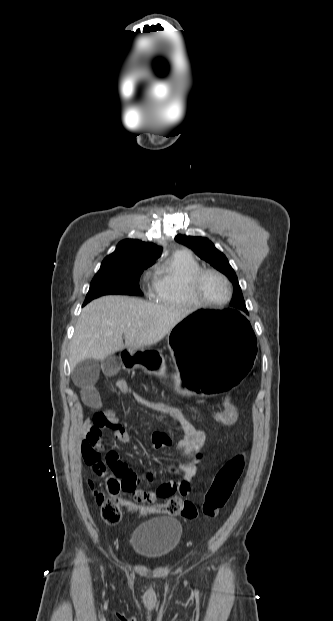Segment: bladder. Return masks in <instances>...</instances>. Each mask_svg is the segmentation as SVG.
<instances>
[{
  "mask_svg": "<svg viewBox=\"0 0 333 621\" xmlns=\"http://www.w3.org/2000/svg\"><path fill=\"white\" fill-rule=\"evenodd\" d=\"M183 535L181 523L173 517H155L134 529L131 545L146 560H161L179 547Z\"/></svg>",
  "mask_w": 333,
  "mask_h": 621,
  "instance_id": "bladder-1",
  "label": "bladder"
}]
</instances>
